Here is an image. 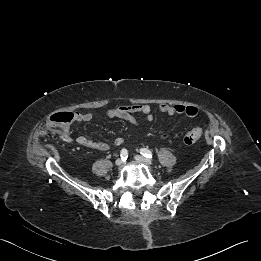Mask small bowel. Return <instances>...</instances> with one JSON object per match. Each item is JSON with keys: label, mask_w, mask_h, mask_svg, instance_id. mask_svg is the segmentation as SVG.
<instances>
[{"label": "small bowel", "mask_w": 261, "mask_h": 261, "mask_svg": "<svg viewBox=\"0 0 261 261\" xmlns=\"http://www.w3.org/2000/svg\"><path fill=\"white\" fill-rule=\"evenodd\" d=\"M160 111L166 115L172 116L176 114L185 115L189 118H195L198 114V110L195 106L191 105H168L162 104L160 105ZM74 121L76 123H85L90 122L94 118V114L91 112L81 113V112H74ZM135 114H141L145 118L146 121L151 122L154 119V116L151 111V107L147 104H132L117 107L114 109H110L104 113L106 118H118L124 120L134 126L139 124V121L136 119ZM60 138L66 142H74L76 141L78 144L95 149L100 151H105L109 148V145L103 141L93 140L86 136H78L74 138L71 134V130L69 125L65 127L60 132ZM161 139H167L168 135L161 134ZM124 144V139L121 137H117L113 140L114 146H121Z\"/></svg>", "instance_id": "obj_1"}]
</instances>
